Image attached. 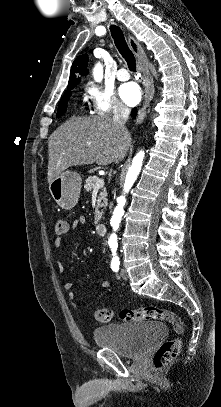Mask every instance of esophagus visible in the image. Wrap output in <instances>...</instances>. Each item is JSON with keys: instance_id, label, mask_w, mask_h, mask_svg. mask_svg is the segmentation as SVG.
I'll return each instance as SVG.
<instances>
[{"instance_id": "obj_1", "label": "esophagus", "mask_w": 221, "mask_h": 407, "mask_svg": "<svg viewBox=\"0 0 221 407\" xmlns=\"http://www.w3.org/2000/svg\"><path fill=\"white\" fill-rule=\"evenodd\" d=\"M128 42H129V45H130V48H131L132 52L134 53V55L138 59V66L139 65L141 66L140 71L142 72L143 76L146 79L145 90H144V93H143V105H142V107L140 108V110L138 112V117H137V120H136V123L140 124V123H142V121H143V119L145 117L146 110H147V108H148V106L150 104V101L152 99V95L154 93V90H153V88L151 86L150 81L148 80L149 70H148L147 66L144 63L141 62V55H140L141 54V46H140V44L132 36L128 37Z\"/></svg>"}]
</instances>
